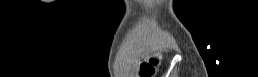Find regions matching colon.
I'll return each mask as SVG.
<instances>
[{"label": "colon", "instance_id": "obj_1", "mask_svg": "<svg viewBox=\"0 0 258 77\" xmlns=\"http://www.w3.org/2000/svg\"><path fill=\"white\" fill-rule=\"evenodd\" d=\"M160 64V56L155 55L150 57L146 62H144L140 67L141 77H152L155 75L157 67Z\"/></svg>", "mask_w": 258, "mask_h": 77}]
</instances>
